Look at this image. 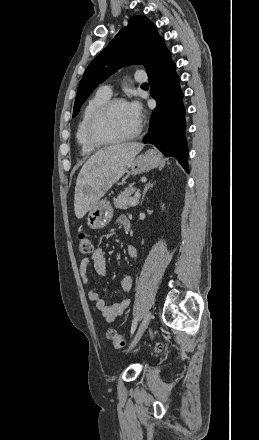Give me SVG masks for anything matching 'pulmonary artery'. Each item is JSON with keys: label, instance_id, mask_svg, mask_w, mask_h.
Masks as SVG:
<instances>
[{"label": "pulmonary artery", "instance_id": "1", "mask_svg": "<svg viewBox=\"0 0 259 440\" xmlns=\"http://www.w3.org/2000/svg\"><path fill=\"white\" fill-rule=\"evenodd\" d=\"M134 79H135V81L137 83H143V82L147 81V77H146V75L143 72H136L135 76H134ZM100 91H102V92H104V93H106L108 95H111V93H112V89L108 85H103L100 88Z\"/></svg>", "mask_w": 259, "mask_h": 440}]
</instances>
